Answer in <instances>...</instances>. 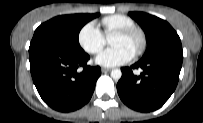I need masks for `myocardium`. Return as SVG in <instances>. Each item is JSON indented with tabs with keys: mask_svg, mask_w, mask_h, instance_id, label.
Returning <instances> with one entry per match:
<instances>
[{
	"mask_svg": "<svg viewBox=\"0 0 203 123\" xmlns=\"http://www.w3.org/2000/svg\"><path fill=\"white\" fill-rule=\"evenodd\" d=\"M138 35L140 38V45L137 48V50L133 53V57H138L140 56L145 48H146V44H147V39H146V35L143 32V30H141L140 28L137 27H129V28H123V29H119L116 30L113 35H120V36H129V35Z\"/></svg>",
	"mask_w": 203,
	"mask_h": 123,
	"instance_id": "f54148a6",
	"label": "myocardium"
}]
</instances>
